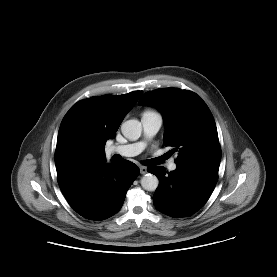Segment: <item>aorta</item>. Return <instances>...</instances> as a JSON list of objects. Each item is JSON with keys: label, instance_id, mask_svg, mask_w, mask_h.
I'll return each mask as SVG.
<instances>
[{"label": "aorta", "instance_id": "762f6f07", "mask_svg": "<svg viewBox=\"0 0 277 277\" xmlns=\"http://www.w3.org/2000/svg\"><path fill=\"white\" fill-rule=\"evenodd\" d=\"M121 131L128 140H138L142 132L141 122L135 119L127 120L121 125ZM140 183L143 189L155 191L159 185V180L155 175L148 173L141 178Z\"/></svg>", "mask_w": 277, "mask_h": 277}]
</instances>
